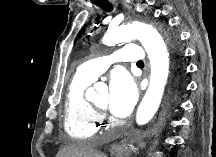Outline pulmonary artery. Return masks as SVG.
<instances>
[{"label": "pulmonary artery", "mask_w": 216, "mask_h": 157, "mask_svg": "<svg viewBox=\"0 0 216 157\" xmlns=\"http://www.w3.org/2000/svg\"><path fill=\"white\" fill-rule=\"evenodd\" d=\"M145 57L142 49L137 45H126L112 54L91 59L77 68V74L88 80H95L104 73L111 64L142 61Z\"/></svg>", "instance_id": "obj_1"}]
</instances>
